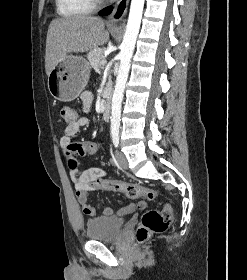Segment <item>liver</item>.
Returning <instances> with one entry per match:
<instances>
[{
    "label": "liver",
    "instance_id": "6515ba94",
    "mask_svg": "<svg viewBox=\"0 0 247 280\" xmlns=\"http://www.w3.org/2000/svg\"><path fill=\"white\" fill-rule=\"evenodd\" d=\"M109 30L102 19L72 16L52 20L46 39L45 70L49 76L57 63L71 52H87L107 43Z\"/></svg>",
    "mask_w": 247,
    "mask_h": 280
}]
</instances>
